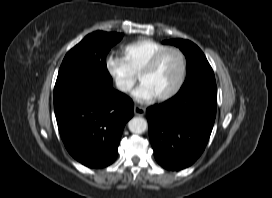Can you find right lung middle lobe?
<instances>
[{
    "mask_svg": "<svg viewBox=\"0 0 272 198\" xmlns=\"http://www.w3.org/2000/svg\"><path fill=\"white\" fill-rule=\"evenodd\" d=\"M123 37L120 33L96 31L87 35L65 56L56 80L54 95L78 85L112 86L106 55Z\"/></svg>",
    "mask_w": 272,
    "mask_h": 198,
    "instance_id": "obj_1",
    "label": "right lung middle lobe"
}]
</instances>
